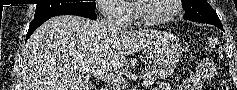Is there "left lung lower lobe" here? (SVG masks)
<instances>
[{"mask_svg": "<svg viewBox=\"0 0 237 90\" xmlns=\"http://www.w3.org/2000/svg\"><path fill=\"white\" fill-rule=\"evenodd\" d=\"M216 27H218V28H220L221 30L224 31L223 26H216Z\"/></svg>", "mask_w": 237, "mask_h": 90, "instance_id": "1", "label": "left lung lower lobe"}]
</instances>
